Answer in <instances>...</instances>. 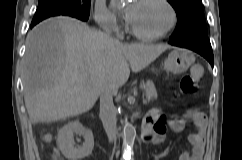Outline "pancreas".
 Instances as JSON below:
<instances>
[{"label":"pancreas","instance_id":"cf45deb5","mask_svg":"<svg viewBox=\"0 0 242 160\" xmlns=\"http://www.w3.org/2000/svg\"><path fill=\"white\" fill-rule=\"evenodd\" d=\"M140 87L144 90L146 98L148 102L153 101L157 98V91L156 88L151 81H147L146 83L142 82Z\"/></svg>","mask_w":242,"mask_h":160}]
</instances>
